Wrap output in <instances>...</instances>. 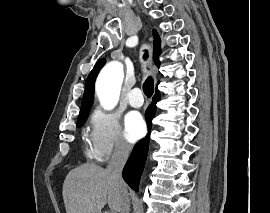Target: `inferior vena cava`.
Instances as JSON below:
<instances>
[{
	"instance_id": "obj_1",
	"label": "inferior vena cava",
	"mask_w": 270,
	"mask_h": 213,
	"mask_svg": "<svg viewBox=\"0 0 270 213\" xmlns=\"http://www.w3.org/2000/svg\"><path fill=\"white\" fill-rule=\"evenodd\" d=\"M131 150L130 145L126 142H118L115 146L112 157L107 166V171L110 172L114 178H116L122 185L124 184L122 178L123 167L129 157ZM130 211V199L126 189L121 190V206L119 213H129Z\"/></svg>"
}]
</instances>
